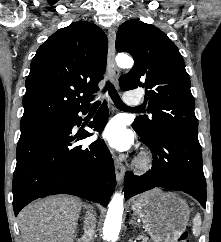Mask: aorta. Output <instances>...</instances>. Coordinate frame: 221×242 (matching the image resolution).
I'll use <instances>...</instances> for the list:
<instances>
[{"instance_id": "obj_1", "label": "aorta", "mask_w": 221, "mask_h": 242, "mask_svg": "<svg viewBox=\"0 0 221 242\" xmlns=\"http://www.w3.org/2000/svg\"><path fill=\"white\" fill-rule=\"evenodd\" d=\"M118 67L129 69L133 66V59L127 55H119L116 57ZM123 198L121 193L115 192L109 205L107 217L103 227V237L108 242H116L119 236L123 214Z\"/></svg>"}]
</instances>
